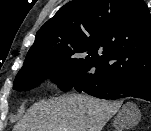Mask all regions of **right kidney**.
Here are the masks:
<instances>
[{"label":"right kidney","mask_w":151,"mask_h":131,"mask_svg":"<svg viewBox=\"0 0 151 131\" xmlns=\"http://www.w3.org/2000/svg\"><path fill=\"white\" fill-rule=\"evenodd\" d=\"M122 124H123V122L121 121L120 122V125H119V128H122ZM121 130V129H120Z\"/></svg>","instance_id":"right-kidney-1"}]
</instances>
